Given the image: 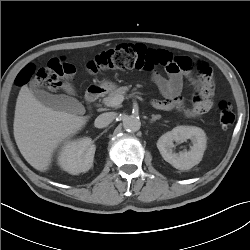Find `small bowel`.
Here are the masks:
<instances>
[{
    "instance_id": "1",
    "label": "small bowel",
    "mask_w": 250,
    "mask_h": 250,
    "mask_svg": "<svg viewBox=\"0 0 250 250\" xmlns=\"http://www.w3.org/2000/svg\"><path fill=\"white\" fill-rule=\"evenodd\" d=\"M184 76L189 79L192 85L196 86L200 78H206L208 74L204 73L201 76L195 75L191 70V63L189 68L184 70V73H172L168 78H165L156 72L152 73V81L156 84L162 95L165 97L164 100L156 101L159 103L158 109L166 111L176 110L190 119L200 118L211 109L213 100L208 94L203 101L193 103L191 107H186L183 99L181 98Z\"/></svg>"
}]
</instances>
